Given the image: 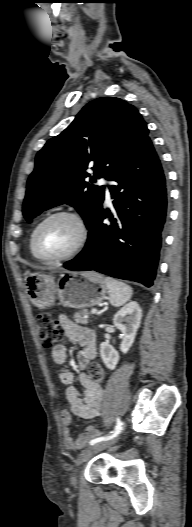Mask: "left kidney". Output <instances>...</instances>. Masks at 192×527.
Segmentation results:
<instances>
[{
  "label": "left kidney",
  "instance_id": "left-kidney-1",
  "mask_svg": "<svg viewBox=\"0 0 192 527\" xmlns=\"http://www.w3.org/2000/svg\"><path fill=\"white\" fill-rule=\"evenodd\" d=\"M142 310L137 302H130L120 309L113 318V323L123 334L120 345L122 353L126 354L133 345L140 326ZM100 356L105 366L113 370L119 361V353L108 342L100 344Z\"/></svg>",
  "mask_w": 192,
  "mask_h": 527
}]
</instances>
